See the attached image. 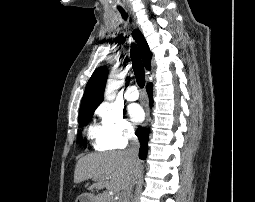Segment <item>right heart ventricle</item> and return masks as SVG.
I'll list each match as a JSON object with an SVG mask.
<instances>
[{"label": "right heart ventricle", "instance_id": "1", "mask_svg": "<svg viewBox=\"0 0 255 202\" xmlns=\"http://www.w3.org/2000/svg\"><path fill=\"white\" fill-rule=\"evenodd\" d=\"M88 136L100 147L101 128L97 125H91L88 129Z\"/></svg>", "mask_w": 255, "mask_h": 202}]
</instances>
